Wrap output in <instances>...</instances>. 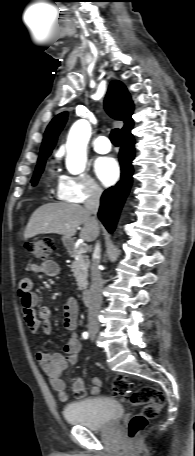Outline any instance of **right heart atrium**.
I'll return each mask as SVG.
<instances>
[{
    "label": "right heart atrium",
    "instance_id": "obj_1",
    "mask_svg": "<svg viewBox=\"0 0 195 456\" xmlns=\"http://www.w3.org/2000/svg\"><path fill=\"white\" fill-rule=\"evenodd\" d=\"M102 188L89 175H63L57 187V196L60 200L70 203H84L97 199L102 195Z\"/></svg>",
    "mask_w": 195,
    "mask_h": 456
}]
</instances>
